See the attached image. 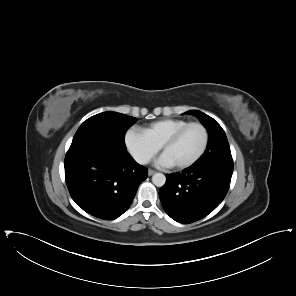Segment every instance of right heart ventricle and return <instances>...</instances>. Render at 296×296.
Wrapping results in <instances>:
<instances>
[{"label": "right heart ventricle", "mask_w": 296, "mask_h": 296, "mask_svg": "<svg viewBox=\"0 0 296 296\" xmlns=\"http://www.w3.org/2000/svg\"><path fill=\"white\" fill-rule=\"evenodd\" d=\"M189 122L184 119H163L144 129V133L159 147L176 131Z\"/></svg>", "instance_id": "e07e8e85"}]
</instances>
